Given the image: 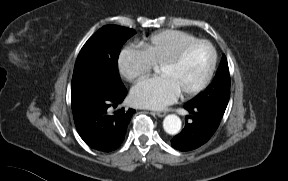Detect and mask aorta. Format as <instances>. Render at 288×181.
I'll return each mask as SVG.
<instances>
[{"mask_svg":"<svg viewBox=\"0 0 288 181\" xmlns=\"http://www.w3.org/2000/svg\"><path fill=\"white\" fill-rule=\"evenodd\" d=\"M181 126V119L175 114L167 115L163 120V128L170 135L179 133Z\"/></svg>","mask_w":288,"mask_h":181,"instance_id":"obj_1","label":"aorta"}]
</instances>
